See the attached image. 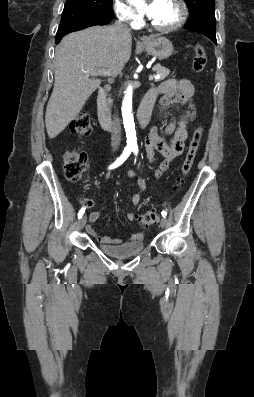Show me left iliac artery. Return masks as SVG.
<instances>
[{"label":"left iliac artery","mask_w":254,"mask_h":397,"mask_svg":"<svg viewBox=\"0 0 254 397\" xmlns=\"http://www.w3.org/2000/svg\"><path fill=\"white\" fill-rule=\"evenodd\" d=\"M133 152H134V155H136L137 156V153H138V148H134L133 149ZM162 216L164 217V218H166V216H167V212L166 211H162Z\"/></svg>","instance_id":"44dca946"}]
</instances>
